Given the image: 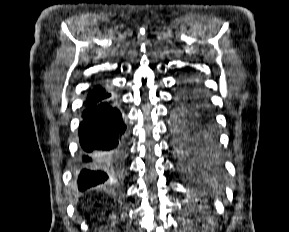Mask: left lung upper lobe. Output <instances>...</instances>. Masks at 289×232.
Instances as JSON below:
<instances>
[{
	"label": "left lung upper lobe",
	"instance_id": "obj_1",
	"mask_svg": "<svg viewBox=\"0 0 289 232\" xmlns=\"http://www.w3.org/2000/svg\"><path fill=\"white\" fill-rule=\"evenodd\" d=\"M175 146L189 153H212L217 149V142L200 134L197 126L187 114H176L173 123Z\"/></svg>",
	"mask_w": 289,
	"mask_h": 232
}]
</instances>
